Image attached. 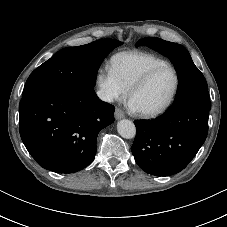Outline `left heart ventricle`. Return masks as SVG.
I'll use <instances>...</instances> for the list:
<instances>
[{"label":"left heart ventricle","mask_w":227,"mask_h":227,"mask_svg":"<svg viewBox=\"0 0 227 227\" xmlns=\"http://www.w3.org/2000/svg\"><path fill=\"white\" fill-rule=\"evenodd\" d=\"M174 86L175 75L171 69L165 68L133 95L131 103L141 111L157 109L168 100Z\"/></svg>","instance_id":"b2bd125f"}]
</instances>
